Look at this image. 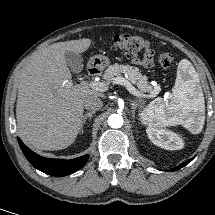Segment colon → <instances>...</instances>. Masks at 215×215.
Returning <instances> with one entry per match:
<instances>
[{"instance_id": "obj_1", "label": "colon", "mask_w": 215, "mask_h": 215, "mask_svg": "<svg viewBox=\"0 0 215 215\" xmlns=\"http://www.w3.org/2000/svg\"><path fill=\"white\" fill-rule=\"evenodd\" d=\"M112 45L122 51L128 57H137L147 47V42L142 37L117 34L112 39ZM158 63L163 68H168L174 61V55L171 52H164L158 55Z\"/></svg>"}]
</instances>
